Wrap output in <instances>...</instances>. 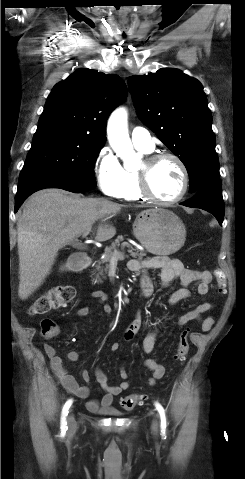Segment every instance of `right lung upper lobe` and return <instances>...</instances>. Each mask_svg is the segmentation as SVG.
I'll list each match as a JSON object with an SVG mask.
<instances>
[{
  "mask_svg": "<svg viewBox=\"0 0 245 479\" xmlns=\"http://www.w3.org/2000/svg\"><path fill=\"white\" fill-rule=\"evenodd\" d=\"M125 97L119 76L78 69L54 86L37 129H64L104 144L107 118Z\"/></svg>",
  "mask_w": 245,
  "mask_h": 479,
  "instance_id": "cb5924a9",
  "label": "right lung upper lobe"
}]
</instances>
